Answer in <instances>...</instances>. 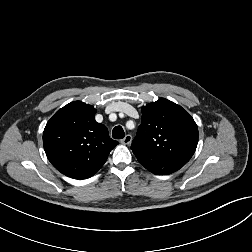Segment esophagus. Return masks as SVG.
<instances>
[{"mask_svg": "<svg viewBox=\"0 0 252 252\" xmlns=\"http://www.w3.org/2000/svg\"><path fill=\"white\" fill-rule=\"evenodd\" d=\"M132 141V136L131 135H126L122 140L121 143L125 145H129Z\"/></svg>", "mask_w": 252, "mask_h": 252, "instance_id": "34e87169", "label": "esophagus"}]
</instances>
